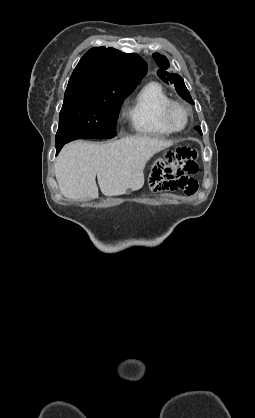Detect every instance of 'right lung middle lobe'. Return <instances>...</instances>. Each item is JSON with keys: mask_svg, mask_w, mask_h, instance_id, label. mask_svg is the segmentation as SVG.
<instances>
[{"mask_svg": "<svg viewBox=\"0 0 255 418\" xmlns=\"http://www.w3.org/2000/svg\"><path fill=\"white\" fill-rule=\"evenodd\" d=\"M133 90L67 88L60 111L56 143L116 136L119 110Z\"/></svg>", "mask_w": 255, "mask_h": 418, "instance_id": "1", "label": "right lung middle lobe"}]
</instances>
